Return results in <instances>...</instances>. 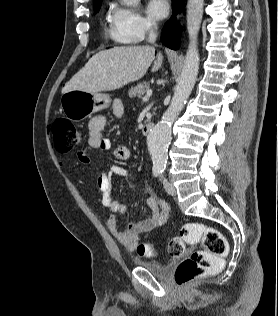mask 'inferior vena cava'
<instances>
[{"instance_id":"602c4592","label":"inferior vena cava","mask_w":278,"mask_h":316,"mask_svg":"<svg viewBox=\"0 0 278 316\" xmlns=\"http://www.w3.org/2000/svg\"><path fill=\"white\" fill-rule=\"evenodd\" d=\"M146 30L149 31L148 42L154 43L156 41L157 34L155 32V23H148L146 26Z\"/></svg>"}]
</instances>
